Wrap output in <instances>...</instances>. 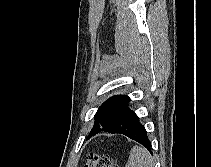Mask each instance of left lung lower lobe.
<instances>
[{
    "label": "left lung lower lobe",
    "instance_id": "1",
    "mask_svg": "<svg viewBox=\"0 0 211 167\" xmlns=\"http://www.w3.org/2000/svg\"><path fill=\"white\" fill-rule=\"evenodd\" d=\"M101 131L126 135L151 152V142L147 137L145 127L140 124L138 116L128 106L110 123L91 130L88 138Z\"/></svg>",
    "mask_w": 211,
    "mask_h": 167
}]
</instances>
